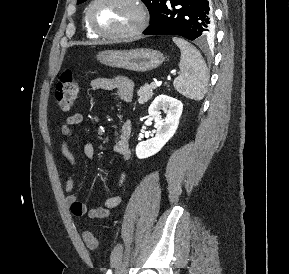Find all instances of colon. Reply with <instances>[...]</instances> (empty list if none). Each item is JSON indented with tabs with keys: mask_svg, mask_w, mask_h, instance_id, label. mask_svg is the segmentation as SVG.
<instances>
[{
	"mask_svg": "<svg viewBox=\"0 0 289 274\" xmlns=\"http://www.w3.org/2000/svg\"><path fill=\"white\" fill-rule=\"evenodd\" d=\"M77 93L78 83L74 72L70 69L63 71L60 75L55 91V98L59 107L64 111L69 110L74 104ZM83 239L85 245L90 250L98 248L97 238L92 232L86 231L83 235Z\"/></svg>",
	"mask_w": 289,
	"mask_h": 274,
	"instance_id": "5ec220e1",
	"label": "colon"
}]
</instances>
